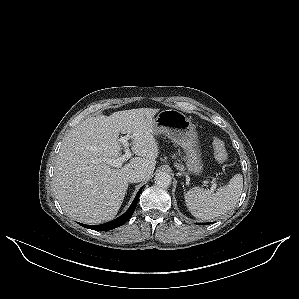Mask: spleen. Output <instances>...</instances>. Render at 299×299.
Here are the masks:
<instances>
[{
  "label": "spleen",
  "mask_w": 299,
  "mask_h": 299,
  "mask_svg": "<svg viewBox=\"0 0 299 299\" xmlns=\"http://www.w3.org/2000/svg\"><path fill=\"white\" fill-rule=\"evenodd\" d=\"M243 189V177L234 175L228 185L220 187L215 193L194 187L185 194L186 206L191 214L201 220L217 218L235 207Z\"/></svg>",
  "instance_id": "spleen-1"
}]
</instances>
